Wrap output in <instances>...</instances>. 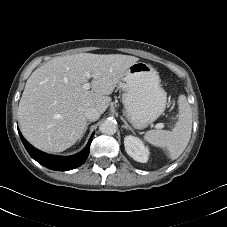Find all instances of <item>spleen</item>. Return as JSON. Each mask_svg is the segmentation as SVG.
<instances>
[{
	"instance_id": "obj_1",
	"label": "spleen",
	"mask_w": 227,
	"mask_h": 227,
	"mask_svg": "<svg viewBox=\"0 0 227 227\" xmlns=\"http://www.w3.org/2000/svg\"><path fill=\"white\" fill-rule=\"evenodd\" d=\"M178 121L172 131L149 130L144 139L151 145L165 148L170 159H177L189 143L192 130V111L185 95L178 97Z\"/></svg>"
}]
</instances>
